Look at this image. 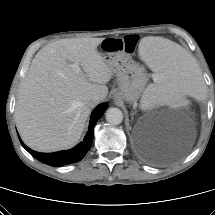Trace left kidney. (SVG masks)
<instances>
[{"label": "left kidney", "mask_w": 215, "mask_h": 215, "mask_svg": "<svg viewBox=\"0 0 215 215\" xmlns=\"http://www.w3.org/2000/svg\"><path fill=\"white\" fill-rule=\"evenodd\" d=\"M146 102L148 103V104H156L157 102H158V99L156 98V97H148L147 99H146ZM159 102L161 103V104H165L166 102H167V99L165 98V97H161L160 99H159ZM169 102L171 103V104H176V103H178L179 105H187V106H190L191 104H192V100L190 99V98H179V99H177L176 97H171L170 99H169Z\"/></svg>", "instance_id": "obj_1"}]
</instances>
